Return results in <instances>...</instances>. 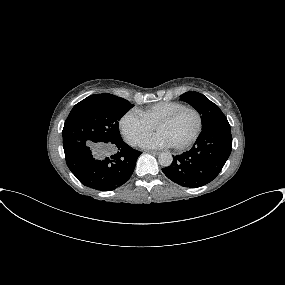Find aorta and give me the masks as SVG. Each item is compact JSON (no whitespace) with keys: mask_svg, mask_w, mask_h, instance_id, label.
<instances>
[{"mask_svg":"<svg viewBox=\"0 0 285 285\" xmlns=\"http://www.w3.org/2000/svg\"><path fill=\"white\" fill-rule=\"evenodd\" d=\"M158 161L161 166L168 167L172 164L173 157L169 152H162L158 157Z\"/></svg>","mask_w":285,"mask_h":285,"instance_id":"aorta-1","label":"aorta"}]
</instances>
